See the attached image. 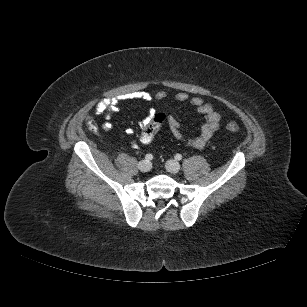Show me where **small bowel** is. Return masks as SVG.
<instances>
[{
	"label": "small bowel",
	"mask_w": 307,
	"mask_h": 307,
	"mask_svg": "<svg viewBox=\"0 0 307 307\" xmlns=\"http://www.w3.org/2000/svg\"><path fill=\"white\" fill-rule=\"evenodd\" d=\"M167 97L168 93L166 91H159L154 96L147 92H138L135 94L123 95L119 98L104 99L96 106L94 113L98 117L103 116L105 118L106 121L103 124V130L105 132H108L112 127L109 120L111 116L119 110V100H144L149 105V107L146 116L139 122V126L143 130L152 122L156 115V109L153 106L154 101H160ZM173 99L178 102L188 101L198 113L204 116L205 122L203 123L200 133L197 136L193 138H188L182 133L179 122L174 117H170L168 119V126L171 133L174 135L175 138L187 143L189 146H192L194 148H202L213 136V134L218 130L221 120L220 114L214 109V107L210 103L204 101L200 97L189 98L188 94L185 92H179L175 94L173 96ZM89 126L90 129H92L93 131L97 130V127L94 124H89ZM133 132L134 130L131 127H128L126 129V133L128 135L133 134Z\"/></svg>",
	"instance_id": "c3829d8e"
}]
</instances>
